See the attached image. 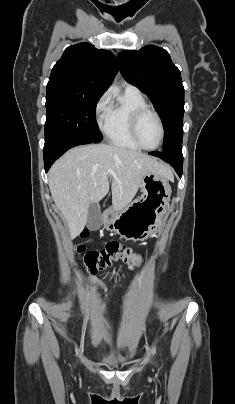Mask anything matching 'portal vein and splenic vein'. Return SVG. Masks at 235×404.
I'll use <instances>...</instances> for the list:
<instances>
[{"label": "portal vein and splenic vein", "mask_w": 235, "mask_h": 404, "mask_svg": "<svg viewBox=\"0 0 235 404\" xmlns=\"http://www.w3.org/2000/svg\"><path fill=\"white\" fill-rule=\"evenodd\" d=\"M107 173L114 174V171L112 169H107Z\"/></svg>", "instance_id": "1"}]
</instances>
